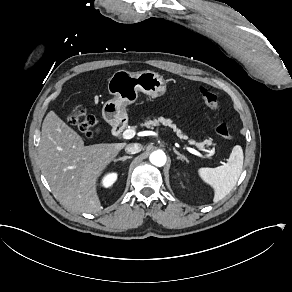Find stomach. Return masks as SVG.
Instances as JSON below:
<instances>
[{
  "label": "stomach",
  "mask_w": 292,
  "mask_h": 292,
  "mask_svg": "<svg viewBox=\"0 0 292 292\" xmlns=\"http://www.w3.org/2000/svg\"><path fill=\"white\" fill-rule=\"evenodd\" d=\"M108 91L114 98L104 104L102 116L109 124L116 125L127 117L125 107L137 100L139 91L156 98L166 92V83L162 76L150 70H119L109 78Z\"/></svg>",
  "instance_id": "obj_1"
}]
</instances>
